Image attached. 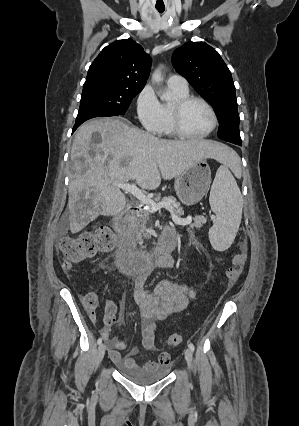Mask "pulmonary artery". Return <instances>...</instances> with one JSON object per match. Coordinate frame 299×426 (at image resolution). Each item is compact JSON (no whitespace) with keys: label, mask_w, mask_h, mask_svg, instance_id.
I'll list each match as a JSON object with an SVG mask.
<instances>
[{"label":"pulmonary artery","mask_w":299,"mask_h":426,"mask_svg":"<svg viewBox=\"0 0 299 426\" xmlns=\"http://www.w3.org/2000/svg\"><path fill=\"white\" fill-rule=\"evenodd\" d=\"M167 84L169 87H173L179 90H187L188 83L186 79L180 75L172 74L167 79Z\"/></svg>","instance_id":"pulmonary-artery-1"}]
</instances>
